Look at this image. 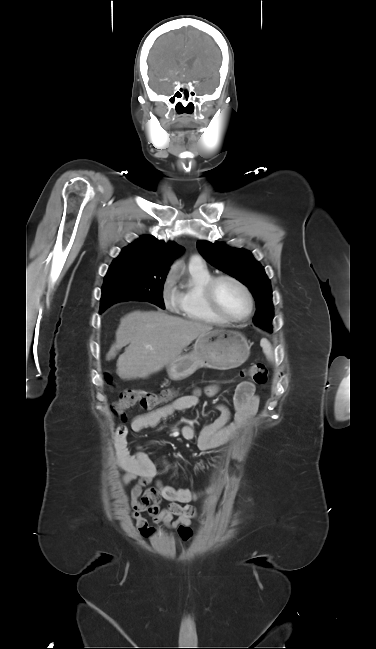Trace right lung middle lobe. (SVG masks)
Returning <instances> with one entry per match:
<instances>
[{
  "label": "right lung middle lobe",
  "instance_id": "dd1d6c3e",
  "mask_svg": "<svg viewBox=\"0 0 376 649\" xmlns=\"http://www.w3.org/2000/svg\"><path fill=\"white\" fill-rule=\"evenodd\" d=\"M166 275L167 271L150 272L143 263L132 259H115L104 278L100 313L116 302L128 300L148 301L164 309Z\"/></svg>",
  "mask_w": 376,
  "mask_h": 649
}]
</instances>
